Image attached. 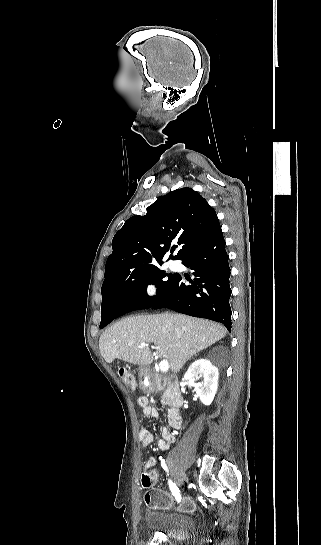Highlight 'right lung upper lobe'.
Returning a JSON list of instances; mask_svg holds the SVG:
<instances>
[{
	"instance_id": "cb5924a9",
	"label": "right lung upper lobe",
	"mask_w": 321,
	"mask_h": 545,
	"mask_svg": "<svg viewBox=\"0 0 321 545\" xmlns=\"http://www.w3.org/2000/svg\"><path fill=\"white\" fill-rule=\"evenodd\" d=\"M143 216H132L115 234L102 289L119 285L130 274L169 258L183 260L220 226L215 210L191 188L172 191L150 205ZM172 242L177 243L171 248ZM177 251L175 256L172 253Z\"/></svg>"
}]
</instances>
